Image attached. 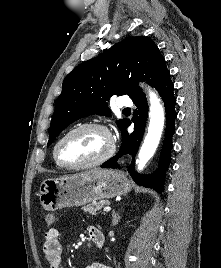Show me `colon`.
<instances>
[{
    "label": "colon",
    "mask_w": 221,
    "mask_h": 268,
    "mask_svg": "<svg viewBox=\"0 0 221 268\" xmlns=\"http://www.w3.org/2000/svg\"><path fill=\"white\" fill-rule=\"evenodd\" d=\"M56 222V216L53 213H48L44 216V223L45 225L50 228Z\"/></svg>",
    "instance_id": "1"
}]
</instances>
